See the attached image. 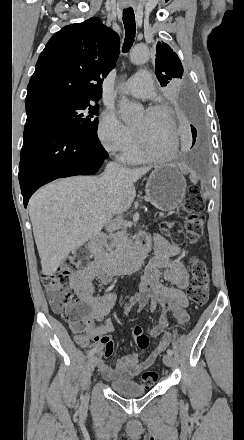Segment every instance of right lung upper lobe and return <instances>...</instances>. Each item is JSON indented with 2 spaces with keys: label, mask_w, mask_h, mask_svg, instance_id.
<instances>
[{
  "label": "right lung upper lobe",
  "mask_w": 244,
  "mask_h": 440,
  "mask_svg": "<svg viewBox=\"0 0 244 440\" xmlns=\"http://www.w3.org/2000/svg\"><path fill=\"white\" fill-rule=\"evenodd\" d=\"M119 47L118 34L96 17L65 26L40 54L26 99L49 94L100 99Z\"/></svg>",
  "instance_id": "1"
}]
</instances>
